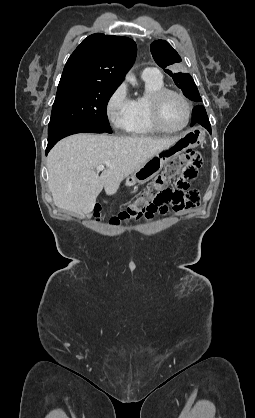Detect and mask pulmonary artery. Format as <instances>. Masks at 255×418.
Listing matches in <instances>:
<instances>
[{"label": "pulmonary artery", "mask_w": 255, "mask_h": 418, "mask_svg": "<svg viewBox=\"0 0 255 418\" xmlns=\"http://www.w3.org/2000/svg\"><path fill=\"white\" fill-rule=\"evenodd\" d=\"M144 80H159L162 78L160 71L157 68L147 67L142 71L141 74Z\"/></svg>", "instance_id": "obj_1"}]
</instances>
